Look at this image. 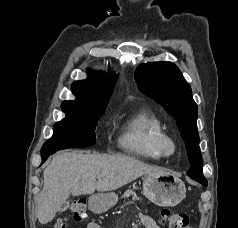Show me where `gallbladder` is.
Here are the masks:
<instances>
[{"label": "gallbladder", "mask_w": 238, "mask_h": 228, "mask_svg": "<svg viewBox=\"0 0 238 228\" xmlns=\"http://www.w3.org/2000/svg\"><path fill=\"white\" fill-rule=\"evenodd\" d=\"M69 204L66 203V204H63L60 208H59V211L62 212L64 210H66L68 208Z\"/></svg>", "instance_id": "gallbladder-1"}]
</instances>
